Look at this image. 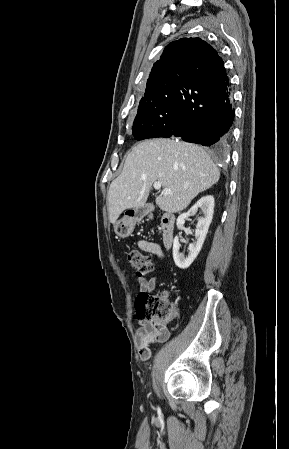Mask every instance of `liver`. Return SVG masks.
I'll list each match as a JSON object with an SVG mask.
<instances>
[{
    "mask_svg": "<svg viewBox=\"0 0 289 449\" xmlns=\"http://www.w3.org/2000/svg\"><path fill=\"white\" fill-rule=\"evenodd\" d=\"M219 178L217 166L195 144L165 138L141 142L128 154L122 173L110 185L109 220L114 225L124 210L143 206L155 182L173 192L158 195V207L176 213Z\"/></svg>",
    "mask_w": 289,
    "mask_h": 449,
    "instance_id": "liver-1",
    "label": "liver"
}]
</instances>
